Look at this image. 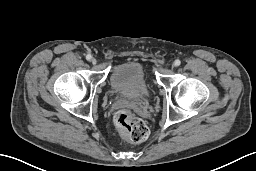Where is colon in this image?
Returning <instances> with one entry per match:
<instances>
[{"label":"colon","instance_id":"obj_1","mask_svg":"<svg viewBox=\"0 0 256 171\" xmlns=\"http://www.w3.org/2000/svg\"><path fill=\"white\" fill-rule=\"evenodd\" d=\"M114 122L120 133L133 143H141L148 137L149 130L146 123L129 110L117 112Z\"/></svg>","mask_w":256,"mask_h":171}]
</instances>
